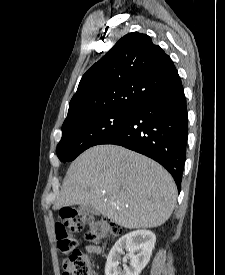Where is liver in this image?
Returning <instances> with one entry per match:
<instances>
[{
  "mask_svg": "<svg viewBox=\"0 0 225 275\" xmlns=\"http://www.w3.org/2000/svg\"><path fill=\"white\" fill-rule=\"evenodd\" d=\"M172 176L157 162L116 145H97L70 165L54 209L84 205L128 229L154 228L171 216Z\"/></svg>",
  "mask_w": 225,
  "mask_h": 275,
  "instance_id": "1",
  "label": "liver"
}]
</instances>
